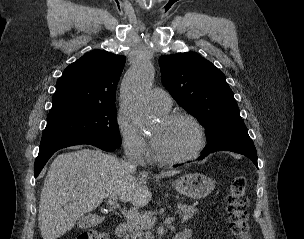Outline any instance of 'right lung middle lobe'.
<instances>
[{
    "instance_id": "1",
    "label": "right lung middle lobe",
    "mask_w": 304,
    "mask_h": 239,
    "mask_svg": "<svg viewBox=\"0 0 304 239\" xmlns=\"http://www.w3.org/2000/svg\"><path fill=\"white\" fill-rule=\"evenodd\" d=\"M68 137L98 139L119 148L116 106L79 107L49 113L42 140Z\"/></svg>"
}]
</instances>
